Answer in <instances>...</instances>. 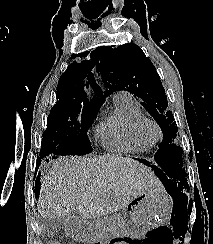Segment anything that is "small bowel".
I'll return each instance as SVG.
<instances>
[{"label":"small bowel","instance_id":"1","mask_svg":"<svg viewBox=\"0 0 213 244\" xmlns=\"http://www.w3.org/2000/svg\"><path fill=\"white\" fill-rule=\"evenodd\" d=\"M112 244H128L125 239L114 240Z\"/></svg>","mask_w":213,"mask_h":244}]
</instances>
